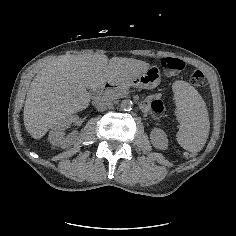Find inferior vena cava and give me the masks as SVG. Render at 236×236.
Masks as SVG:
<instances>
[{
    "label": "inferior vena cava",
    "mask_w": 236,
    "mask_h": 236,
    "mask_svg": "<svg viewBox=\"0 0 236 236\" xmlns=\"http://www.w3.org/2000/svg\"><path fill=\"white\" fill-rule=\"evenodd\" d=\"M110 107H111V103L107 102V101L98 102L97 105H96V109L99 112L106 111Z\"/></svg>",
    "instance_id": "1"
}]
</instances>
